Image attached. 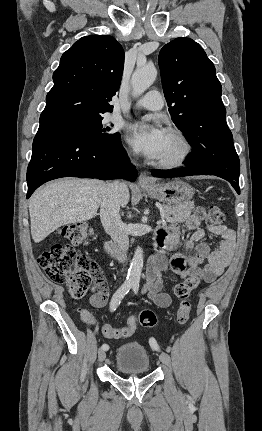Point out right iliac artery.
I'll return each mask as SVG.
<instances>
[{
    "mask_svg": "<svg viewBox=\"0 0 262 431\" xmlns=\"http://www.w3.org/2000/svg\"><path fill=\"white\" fill-rule=\"evenodd\" d=\"M133 283L130 281H125L122 286L116 291V293L114 294L113 298L111 299L110 302V310L111 311H115L116 308L118 307V305L121 302V299L130 291V289L132 288ZM103 350H108L109 346L107 344H103L101 347Z\"/></svg>",
    "mask_w": 262,
    "mask_h": 431,
    "instance_id": "obj_1",
    "label": "right iliac artery"
}]
</instances>
